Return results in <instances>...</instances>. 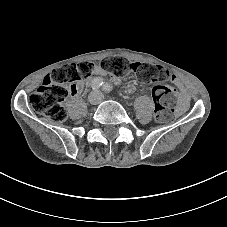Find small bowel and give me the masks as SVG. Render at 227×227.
<instances>
[{"label":"small bowel","instance_id":"obj_1","mask_svg":"<svg viewBox=\"0 0 227 227\" xmlns=\"http://www.w3.org/2000/svg\"><path fill=\"white\" fill-rule=\"evenodd\" d=\"M94 73L98 76H102L106 74V71L103 70L100 66H94ZM95 79V78H94ZM172 82L175 83L181 90V94H180V101L182 103H185L187 101V94L183 89L182 84L180 83L178 77L176 75H173L171 78ZM92 82V81H91ZM83 85H79L78 89L75 93H73L74 95L78 94L81 90H82Z\"/></svg>","mask_w":227,"mask_h":227}]
</instances>
